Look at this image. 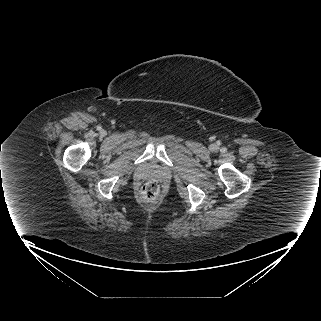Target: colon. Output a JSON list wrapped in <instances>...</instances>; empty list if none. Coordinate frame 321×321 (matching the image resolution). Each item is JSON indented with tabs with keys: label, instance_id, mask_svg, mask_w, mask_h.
I'll use <instances>...</instances> for the list:
<instances>
[{
	"label": "colon",
	"instance_id": "1",
	"mask_svg": "<svg viewBox=\"0 0 321 321\" xmlns=\"http://www.w3.org/2000/svg\"><path fill=\"white\" fill-rule=\"evenodd\" d=\"M160 193V186L156 181L146 182L141 190L142 196L149 201L155 200Z\"/></svg>",
	"mask_w": 321,
	"mask_h": 321
}]
</instances>
